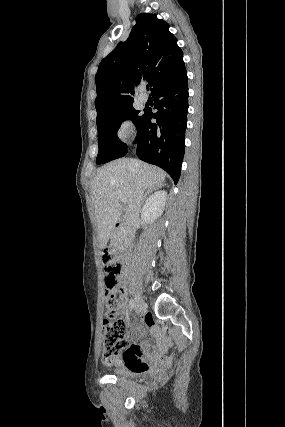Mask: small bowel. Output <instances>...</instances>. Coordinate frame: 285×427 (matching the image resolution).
<instances>
[{
  "label": "small bowel",
  "instance_id": "small-bowel-1",
  "mask_svg": "<svg viewBox=\"0 0 285 427\" xmlns=\"http://www.w3.org/2000/svg\"><path fill=\"white\" fill-rule=\"evenodd\" d=\"M125 317L128 316L127 308L124 307L122 311ZM141 326H146L149 328H153L155 322L152 318L146 317L140 320ZM166 341L160 340L157 345V350H149L145 345H141L137 343L136 338H132V347L129 352H124L122 357L118 360L119 365H123L125 367L131 369L136 368V364L138 362L144 363L145 370L155 371L161 365H166L171 362V358H166L161 355V350L166 348Z\"/></svg>",
  "mask_w": 285,
  "mask_h": 427
}]
</instances>
